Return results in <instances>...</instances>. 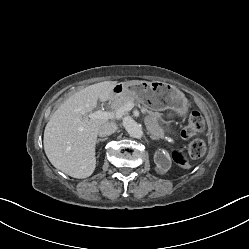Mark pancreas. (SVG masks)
<instances>
[{
  "label": "pancreas",
  "instance_id": "pancreas-1",
  "mask_svg": "<svg viewBox=\"0 0 249 249\" xmlns=\"http://www.w3.org/2000/svg\"><path fill=\"white\" fill-rule=\"evenodd\" d=\"M127 103H132L133 105H139V103L132 96L122 95V96H118V97H115L112 99L111 107L114 111H117V110L123 108ZM142 110H143V112L151 115L156 126H159L158 121H161L162 123L164 122V120L162 118V114H160L158 112L149 111L146 108H142ZM157 133H158V135L163 136L164 130L159 128Z\"/></svg>",
  "mask_w": 249,
  "mask_h": 249
}]
</instances>
